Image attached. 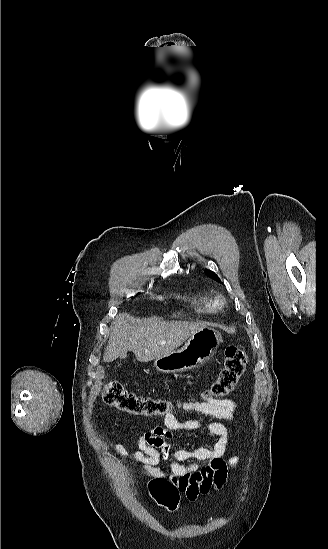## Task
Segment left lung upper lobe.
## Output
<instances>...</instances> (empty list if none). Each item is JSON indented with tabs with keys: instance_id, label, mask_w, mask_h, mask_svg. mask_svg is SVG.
<instances>
[{
	"instance_id": "1",
	"label": "left lung upper lobe",
	"mask_w": 328,
	"mask_h": 549,
	"mask_svg": "<svg viewBox=\"0 0 328 549\" xmlns=\"http://www.w3.org/2000/svg\"><path fill=\"white\" fill-rule=\"evenodd\" d=\"M207 274H208V276L213 277L215 280L220 281L219 278L217 277V275L214 272L207 270Z\"/></svg>"
}]
</instances>
